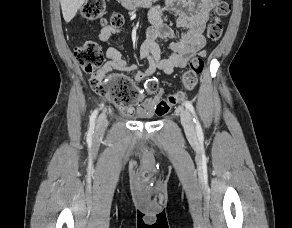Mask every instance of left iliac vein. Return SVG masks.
<instances>
[{
    "instance_id": "left-iliac-vein-1",
    "label": "left iliac vein",
    "mask_w": 292,
    "mask_h": 228,
    "mask_svg": "<svg viewBox=\"0 0 292 228\" xmlns=\"http://www.w3.org/2000/svg\"><path fill=\"white\" fill-rule=\"evenodd\" d=\"M179 115H180L181 123H182L185 131L189 135L194 136L195 135V127H194V123H193L192 116H191L190 112L186 108L181 107L179 109Z\"/></svg>"
}]
</instances>
